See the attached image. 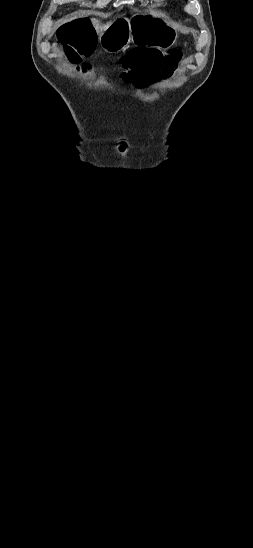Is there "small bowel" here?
Instances as JSON below:
<instances>
[{
	"label": "small bowel",
	"mask_w": 253,
	"mask_h": 548,
	"mask_svg": "<svg viewBox=\"0 0 253 548\" xmlns=\"http://www.w3.org/2000/svg\"><path fill=\"white\" fill-rule=\"evenodd\" d=\"M168 75L170 76V75H171V72H170V74H168ZM135 82L137 83V81H136V80H135Z\"/></svg>",
	"instance_id": "small-bowel-1"
}]
</instances>
